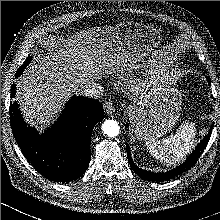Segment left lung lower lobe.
<instances>
[{"instance_id":"obj_1","label":"left lung lower lobe","mask_w":220,"mask_h":220,"mask_svg":"<svg viewBox=\"0 0 220 220\" xmlns=\"http://www.w3.org/2000/svg\"><path fill=\"white\" fill-rule=\"evenodd\" d=\"M206 78L210 85V82H211L210 78L209 77H206ZM125 127L128 128V124H126ZM212 128H213V125L211 126V129L209 130V134L204 137V139L196 147L195 151L189 156V158L183 164H181L179 167H177L176 169L172 171H168L165 173L164 172L155 173V172H149V171H146V170H143L137 167L131 159L129 146H127V156H128V161L130 163V166L133 169V171L144 180L159 182V181H165V180L174 178L188 171L196 163V161L198 160V158L204 151L206 145L208 144V141L211 136Z\"/></svg>"}]
</instances>
